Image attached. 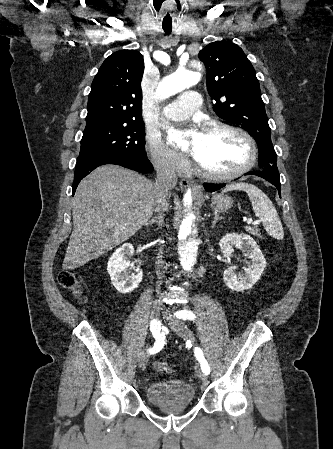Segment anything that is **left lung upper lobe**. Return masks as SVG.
<instances>
[{
  "mask_svg": "<svg viewBox=\"0 0 333 449\" xmlns=\"http://www.w3.org/2000/svg\"><path fill=\"white\" fill-rule=\"evenodd\" d=\"M199 58L207 69V90L216 101L215 113L241 126L256 140L260 171L279 175L260 85L251 62L238 45L228 41L208 44L199 52Z\"/></svg>",
  "mask_w": 333,
  "mask_h": 449,
  "instance_id": "left-lung-upper-lobe-1",
  "label": "left lung upper lobe"
}]
</instances>
